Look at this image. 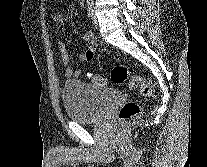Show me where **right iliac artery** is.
Returning <instances> with one entry per match:
<instances>
[{"instance_id": "obj_1", "label": "right iliac artery", "mask_w": 207, "mask_h": 167, "mask_svg": "<svg viewBox=\"0 0 207 167\" xmlns=\"http://www.w3.org/2000/svg\"><path fill=\"white\" fill-rule=\"evenodd\" d=\"M87 13L90 18L93 15V2L92 0H87Z\"/></svg>"}]
</instances>
